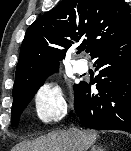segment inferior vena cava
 Instances as JSON below:
<instances>
[{
	"label": "inferior vena cava",
	"mask_w": 131,
	"mask_h": 151,
	"mask_svg": "<svg viewBox=\"0 0 131 151\" xmlns=\"http://www.w3.org/2000/svg\"><path fill=\"white\" fill-rule=\"evenodd\" d=\"M69 131H70L71 134H73L76 137V139L78 141L80 140V136L82 134L80 130H78L76 128H71Z\"/></svg>",
	"instance_id": "1"
}]
</instances>
